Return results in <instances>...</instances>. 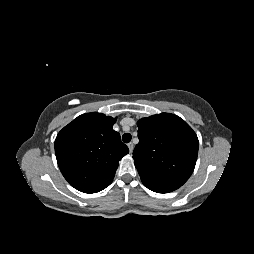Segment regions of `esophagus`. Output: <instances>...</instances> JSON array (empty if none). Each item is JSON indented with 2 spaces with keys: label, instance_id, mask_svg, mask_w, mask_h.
Masks as SVG:
<instances>
[{
  "label": "esophagus",
  "instance_id": "obj_1",
  "mask_svg": "<svg viewBox=\"0 0 254 254\" xmlns=\"http://www.w3.org/2000/svg\"><path fill=\"white\" fill-rule=\"evenodd\" d=\"M128 148H129L130 153H132L133 149H134V144L132 142L128 143Z\"/></svg>",
  "mask_w": 254,
  "mask_h": 254
}]
</instances>
